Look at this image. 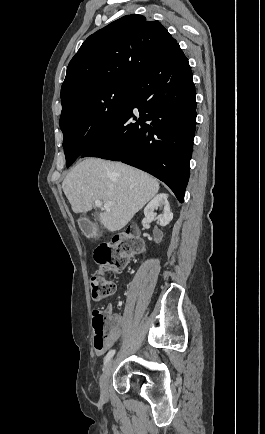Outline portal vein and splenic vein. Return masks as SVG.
Instances as JSON below:
<instances>
[{
	"mask_svg": "<svg viewBox=\"0 0 265 434\" xmlns=\"http://www.w3.org/2000/svg\"><path fill=\"white\" fill-rule=\"evenodd\" d=\"M115 202H101V200H95V206L102 208V210H111V206H114Z\"/></svg>",
	"mask_w": 265,
	"mask_h": 434,
	"instance_id": "portal-vein-and-splenic-vein-1",
	"label": "portal vein and splenic vein"
}]
</instances>
